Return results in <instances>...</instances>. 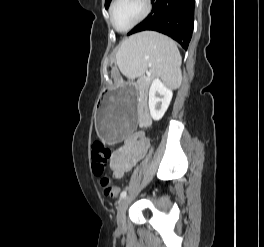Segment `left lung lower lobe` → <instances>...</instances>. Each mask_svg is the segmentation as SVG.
Returning <instances> with one entry per match:
<instances>
[{
  "mask_svg": "<svg viewBox=\"0 0 264 247\" xmlns=\"http://www.w3.org/2000/svg\"><path fill=\"white\" fill-rule=\"evenodd\" d=\"M153 9L148 17L128 35L153 30L170 36L184 49L192 37L195 0H151Z\"/></svg>",
  "mask_w": 264,
  "mask_h": 247,
  "instance_id": "0a47b994",
  "label": "left lung lower lobe"
}]
</instances>
